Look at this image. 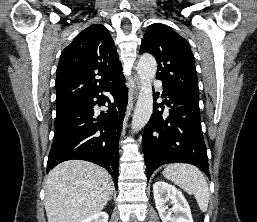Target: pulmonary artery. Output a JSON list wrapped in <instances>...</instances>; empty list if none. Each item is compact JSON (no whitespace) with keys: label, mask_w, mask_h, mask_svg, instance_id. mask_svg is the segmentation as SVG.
<instances>
[{"label":"pulmonary artery","mask_w":257,"mask_h":222,"mask_svg":"<svg viewBox=\"0 0 257 222\" xmlns=\"http://www.w3.org/2000/svg\"><path fill=\"white\" fill-rule=\"evenodd\" d=\"M154 85H155L157 88H159V89L162 88V85H161V82H160V81H154Z\"/></svg>","instance_id":"e3ab8cb5"}]
</instances>
